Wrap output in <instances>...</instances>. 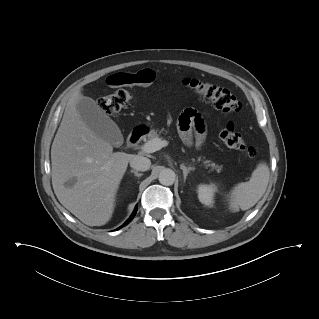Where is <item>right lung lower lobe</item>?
<instances>
[{
    "label": "right lung lower lobe",
    "instance_id": "obj_1",
    "mask_svg": "<svg viewBox=\"0 0 319 319\" xmlns=\"http://www.w3.org/2000/svg\"><path fill=\"white\" fill-rule=\"evenodd\" d=\"M136 212H137V208H135V210H134V212L132 213V215L130 216V218H129L121 227H119L118 229L122 228V227L125 226L127 223H129V222L134 218ZM118 229H116V230H118Z\"/></svg>",
    "mask_w": 319,
    "mask_h": 319
}]
</instances>
